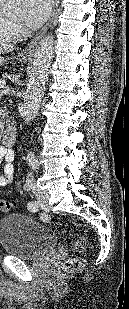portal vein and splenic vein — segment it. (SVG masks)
Masks as SVG:
<instances>
[{
  "mask_svg": "<svg viewBox=\"0 0 129 309\" xmlns=\"http://www.w3.org/2000/svg\"><path fill=\"white\" fill-rule=\"evenodd\" d=\"M6 85V82H0V87H4Z\"/></svg>",
  "mask_w": 129,
  "mask_h": 309,
  "instance_id": "18ae733b",
  "label": "portal vein and splenic vein"
}]
</instances>
